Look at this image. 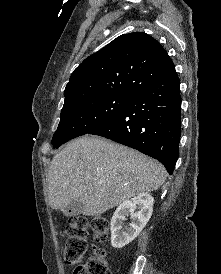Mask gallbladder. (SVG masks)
<instances>
[{
  "instance_id": "obj_1",
  "label": "gallbladder",
  "mask_w": 221,
  "mask_h": 274,
  "mask_svg": "<svg viewBox=\"0 0 221 274\" xmlns=\"http://www.w3.org/2000/svg\"><path fill=\"white\" fill-rule=\"evenodd\" d=\"M83 207V203L79 199L73 200L69 207L64 210V213L67 216H76L82 213Z\"/></svg>"
}]
</instances>
